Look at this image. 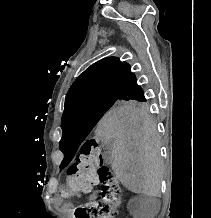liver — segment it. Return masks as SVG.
<instances>
[{
    "instance_id": "liver-1",
    "label": "liver",
    "mask_w": 211,
    "mask_h": 218,
    "mask_svg": "<svg viewBox=\"0 0 211 218\" xmlns=\"http://www.w3.org/2000/svg\"><path fill=\"white\" fill-rule=\"evenodd\" d=\"M95 138L109 144L112 170L127 190L159 196L160 138L145 110L112 108L100 120Z\"/></svg>"
}]
</instances>
